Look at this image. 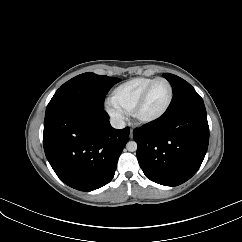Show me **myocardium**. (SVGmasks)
<instances>
[{
    "label": "myocardium",
    "instance_id": "1",
    "mask_svg": "<svg viewBox=\"0 0 242 242\" xmlns=\"http://www.w3.org/2000/svg\"><path fill=\"white\" fill-rule=\"evenodd\" d=\"M158 81H164V82L167 83V85L169 87V98H168V101H167L165 107L162 109V111L159 112L157 115H155L153 117H148V118L142 117V116H140L139 111H140L141 107L143 106L150 89ZM173 97H174L173 86H172L171 82L168 79H166L164 77H157V78L153 79L144 88V90L142 91V93L138 97L137 101L135 102V104H134V106H133V108L131 110V115H132L134 121H136L139 124H145V125L146 124H153V123L158 122L159 120H161L166 115V113L170 109V107L172 105V102H173Z\"/></svg>",
    "mask_w": 242,
    "mask_h": 242
}]
</instances>
